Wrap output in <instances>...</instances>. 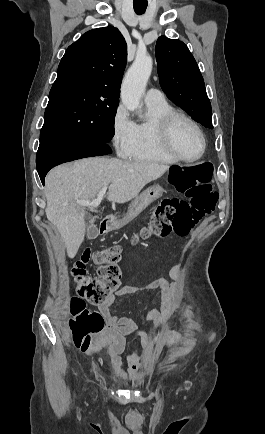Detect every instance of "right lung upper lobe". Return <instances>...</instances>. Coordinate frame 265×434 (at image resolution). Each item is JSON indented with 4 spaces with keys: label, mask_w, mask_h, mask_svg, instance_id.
I'll list each match as a JSON object with an SVG mask.
<instances>
[{
    "label": "right lung upper lobe",
    "mask_w": 265,
    "mask_h": 434,
    "mask_svg": "<svg viewBox=\"0 0 265 434\" xmlns=\"http://www.w3.org/2000/svg\"><path fill=\"white\" fill-rule=\"evenodd\" d=\"M127 62V45L113 26L84 33L66 50L55 82L90 80L119 91Z\"/></svg>",
    "instance_id": "1"
}]
</instances>
